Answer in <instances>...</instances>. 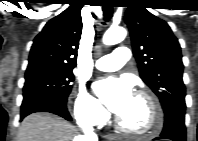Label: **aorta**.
<instances>
[{
    "label": "aorta",
    "instance_id": "aorta-1",
    "mask_svg": "<svg viewBox=\"0 0 198 141\" xmlns=\"http://www.w3.org/2000/svg\"><path fill=\"white\" fill-rule=\"evenodd\" d=\"M126 35L127 31L125 28L111 27L105 32L102 41L105 45H114L123 41Z\"/></svg>",
    "mask_w": 198,
    "mask_h": 141
}]
</instances>
